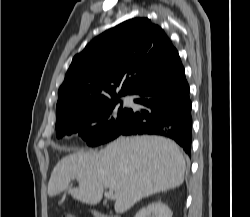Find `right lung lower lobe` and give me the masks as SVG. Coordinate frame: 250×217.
<instances>
[{"mask_svg":"<svg viewBox=\"0 0 250 217\" xmlns=\"http://www.w3.org/2000/svg\"><path fill=\"white\" fill-rule=\"evenodd\" d=\"M135 95L138 98L134 102L146 109L133 111L130 121L119 135L166 136L175 140L190 155L192 104L180 57L168 70Z\"/></svg>","mask_w":250,"mask_h":217,"instance_id":"obj_1","label":"right lung lower lobe"}]
</instances>
